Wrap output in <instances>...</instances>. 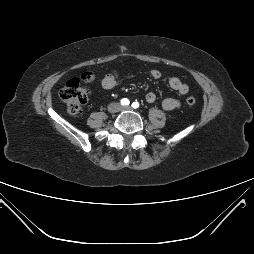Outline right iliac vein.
<instances>
[{"instance_id": "63e3f726", "label": "right iliac vein", "mask_w": 254, "mask_h": 254, "mask_svg": "<svg viewBox=\"0 0 254 254\" xmlns=\"http://www.w3.org/2000/svg\"><path fill=\"white\" fill-rule=\"evenodd\" d=\"M120 110V106L117 103H112L108 106V111L110 113H116Z\"/></svg>"}]
</instances>
